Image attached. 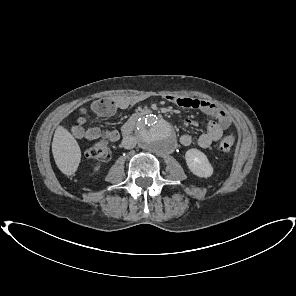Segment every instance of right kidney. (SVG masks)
<instances>
[{
	"instance_id": "1",
	"label": "right kidney",
	"mask_w": 296,
	"mask_h": 296,
	"mask_svg": "<svg viewBox=\"0 0 296 296\" xmlns=\"http://www.w3.org/2000/svg\"><path fill=\"white\" fill-rule=\"evenodd\" d=\"M100 164L98 163V164H96V166L94 167V172H98L99 171V169H100Z\"/></svg>"
}]
</instances>
